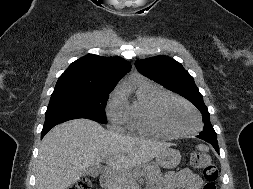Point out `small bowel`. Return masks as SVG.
<instances>
[{
  "label": "small bowel",
  "instance_id": "obj_1",
  "mask_svg": "<svg viewBox=\"0 0 253 189\" xmlns=\"http://www.w3.org/2000/svg\"><path fill=\"white\" fill-rule=\"evenodd\" d=\"M203 184L199 175L188 169L168 172L161 183L160 189H201Z\"/></svg>",
  "mask_w": 253,
  "mask_h": 189
}]
</instances>
